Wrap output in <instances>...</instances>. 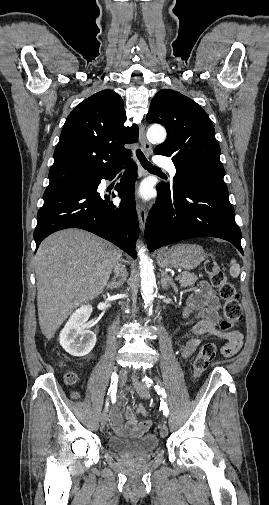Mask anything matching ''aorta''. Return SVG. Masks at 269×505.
<instances>
[{
	"instance_id": "762f6f07",
	"label": "aorta",
	"mask_w": 269,
	"mask_h": 505,
	"mask_svg": "<svg viewBox=\"0 0 269 505\" xmlns=\"http://www.w3.org/2000/svg\"><path fill=\"white\" fill-rule=\"evenodd\" d=\"M147 137L152 142L162 143L166 139V131L164 127L160 125H152L147 131ZM137 254L140 266L141 292L145 308L148 307L149 311H151L156 288L154 267L144 246L137 245Z\"/></svg>"
}]
</instances>
